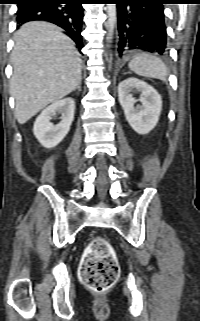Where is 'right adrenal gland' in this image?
Returning <instances> with one entry per match:
<instances>
[{
	"mask_svg": "<svg viewBox=\"0 0 200 321\" xmlns=\"http://www.w3.org/2000/svg\"><path fill=\"white\" fill-rule=\"evenodd\" d=\"M78 90L79 92L81 91V81L80 83L77 85V87L74 89V91Z\"/></svg>",
	"mask_w": 200,
	"mask_h": 321,
	"instance_id": "2a0ac1e0",
	"label": "right adrenal gland"
}]
</instances>
